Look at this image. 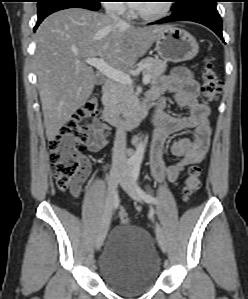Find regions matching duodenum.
Returning a JSON list of instances; mask_svg holds the SVG:
<instances>
[{
  "mask_svg": "<svg viewBox=\"0 0 248 299\" xmlns=\"http://www.w3.org/2000/svg\"><path fill=\"white\" fill-rule=\"evenodd\" d=\"M114 84L106 81L101 88L100 102L102 105V119L113 126H125L126 128L136 127L149 114V106L142 102L133 107V109L124 117L120 116L112 106V95Z\"/></svg>",
  "mask_w": 248,
  "mask_h": 299,
  "instance_id": "1",
  "label": "duodenum"
}]
</instances>
